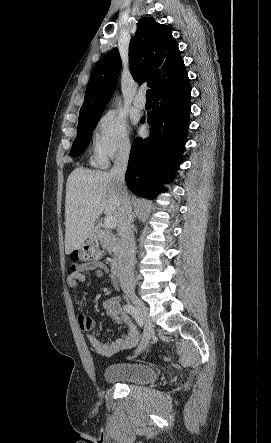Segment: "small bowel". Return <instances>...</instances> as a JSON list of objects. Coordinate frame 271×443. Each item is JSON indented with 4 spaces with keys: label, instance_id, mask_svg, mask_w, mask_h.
Returning <instances> with one entry per match:
<instances>
[{
    "label": "small bowel",
    "instance_id": "small-bowel-1",
    "mask_svg": "<svg viewBox=\"0 0 271 443\" xmlns=\"http://www.w3.org/2000/svg\"><path fill=\"white\" fill-rule=\"evenodd\" d=\"M94 272L98 277L108 273V269L101 261L94 260L88 263H82L74 266L72 273L67 278V284L70 288H75L77 282L86 280V273ZM115 287L118 286L117 280L113 279ZM103 308L106 314L119 324L126 326L127 333L111 343H104L97 339L92 333L94 327L93 318L85 315L78 316L79 326L85 334V338L94 352L101 356L109 357L122 350L133 348L139 341V332L130 316L122 310L118 297H111L103 302Z\"/></svg>",
    "mask_w": 271,
    "mask_h": 443
}]
</instances>
